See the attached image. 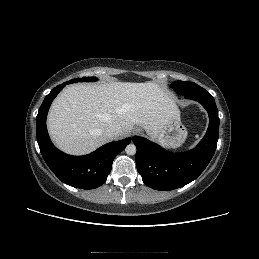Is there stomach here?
<instances>
[{
  "instance_id": "1",
  "label": "stomach",
  "mask_w": 259,
  "mask_h": 259,
  "mask_svg": "<svg viewBox=\"0 0 259 259\" xmlns=\"http://www.w3.org/2000/svg\"><path fill=\"white\" fill-rule=\"evenodd\" d=\"M187 135V129L182 124L178 113L177 116L167 121L154 139L165 148L175 149L185 142Z\"/></svg>"
}]
</instances>
